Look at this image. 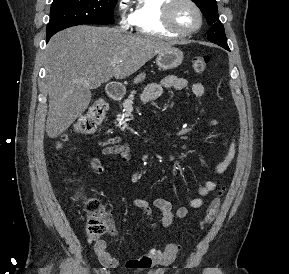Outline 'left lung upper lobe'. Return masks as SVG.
Returning a JSON list of instances; mask_svg holds the SVG:
<instances>
[{
  "label": "left lung upper lobe",
  "instance_id": "left-lung-upper-lobe-1",
  "mask_svg": "<svg viewBox=\"0 0 289 274\" xmlns=\"http://www.w3.org/2000/svg\"><path fill=\"white\" fill-rule=\"evenodd\" d=\"M192 1L199 7L207 19V23L211 26L207 31V39L223 48L228 47L224 27L218 17L216 0Z\"/></svg>",
  "mask_w": 289,
  "mask_h": 274
}]
</instances>
